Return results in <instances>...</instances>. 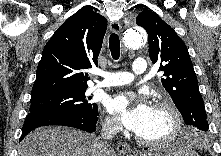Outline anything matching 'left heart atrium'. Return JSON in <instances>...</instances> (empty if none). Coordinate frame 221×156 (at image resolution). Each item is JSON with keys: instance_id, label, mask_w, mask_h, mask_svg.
<instances>
[{"instance_id": "1", "label": "left heart atrium", "mask_w": 221, "mask_h": 156, "mask_svg": "<svg viewBox=\"0 0 221 156\" xmlns=\"http://www.w3.org/2000/svg\"><path fill=\"white\" fill-rule=\"evenodd\" d=\"M107 110L129 130L140 134L149 123L153 107L134 92H125L106 100Z\"/></svg>"}]
</instances>
